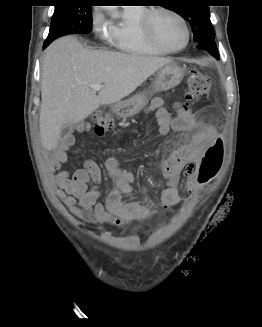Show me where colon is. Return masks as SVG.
<instances>
[{"instance_id":"5ec220e1","label":"colon","mask_w":262,"mask_h":327,"mask_svg":"<svg viewBox=\"0 0 262 327\" xmlns=\"http://www.w3.org/2000/svg\"><path fill=\"white\" fill-rule=\"evenodd\" d=\"M210 89V79L197 70H192L187 79L186 101L195 102L205 98ZM114 126L113 115L105 110L97 111L93 116V130L97 135H103ZM223 161V143L217 139L208 147L205 154L196 164L194 181L197 186L206 185L212 180ZM190 201L193 198L190 197Z\"/></svg>"}]
</instances>
